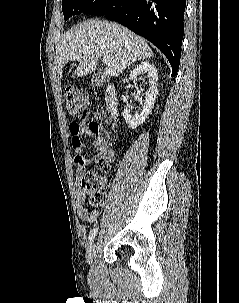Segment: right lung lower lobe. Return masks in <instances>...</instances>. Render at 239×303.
<instances>
[{
	"instance_id": "obj_1",
	"label": "right lung lower lobe",
	"mask_w": 239,
	"mask_h": 303,
	"mask_svg": "<svg viewBox=\"0 0 239 303\" xmlns=\"http://www.w3.org/2000/svg\"><path fill=\"white\" fill-rule=\"evenodd\" d=\"M185 0H106L89 14L116 21L158 47L177 74L184 33Z\"/></svg>"
}]
</instances>
